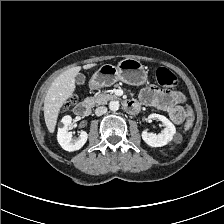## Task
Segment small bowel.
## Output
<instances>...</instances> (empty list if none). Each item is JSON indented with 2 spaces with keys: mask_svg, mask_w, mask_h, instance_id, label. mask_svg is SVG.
Instances as JSON below:
<instances>
[{
  "mask_svg": "<svg viewBox=\"0 0 224 224\" xmlns=\"http://www.w3.org/2000/svg\"><path fill=\"white\" fill-rule=\"evenodd\" d=\"M185 96L177 91H165L153 86L143 88L136 103L154 106L165 112L173 122L179 124L184 120L183 109L179 106Z\"/></svg>",
  "mask_w": 224,
  "mask_h": 224,
  "instance_id": "c3829d8e",
  "label": "small bowel"
}]
</instances>
